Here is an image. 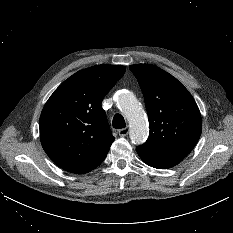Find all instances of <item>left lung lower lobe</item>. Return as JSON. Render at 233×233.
<instances>
[{
	"label": "left lung lower lobe",
	"instance_id": "obj_1",
	"mask_svg": "<svg viewBox=\"0 0 233 233\" xmlns=\"http://www.w3.org/2000/svg\"><path fill=\"white\" fill-rule=\"evenodd\" d=\"M136 150L144 163L157 169L171 168L177 165L182 160L181 158L152 153L140 146L136 147Z\"/></svg>",
	"mask_w": 233,
	"mask_h": 233
}]
</instances>
